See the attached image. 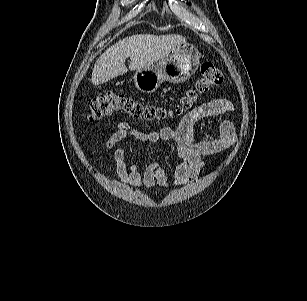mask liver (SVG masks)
<instances>
[{
  "label": "liver",
  "instance_id": "liver-1",
  "mask_svg": "<svg viewBox=\"0 0 307 301\" xmlns=\"http://www.w3.org/2000/svg\"><path fill=\"white\" fill-rule=\"evenodd\" d=\"M180 35L140 34L126 37L109 47L96 61L91 82L100 85L128 72L125 61L130 57V70L160 61L177 45L185 43Z\"/></svg>",
  "mask_w": 307,
  "mask_h": 301
}]
</instances>
